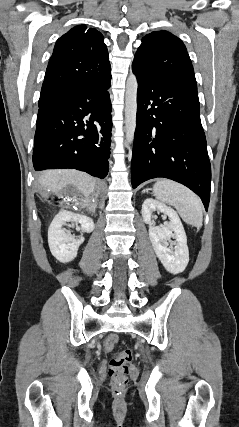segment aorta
<instances>
[{
    "label": "aorta",
    "instance_id": "obj_1",
    "mask_svg": "<svg viewBox=\"0 0 239 427\" xmlns=\"http://www.w3.org/2000/svg\"><path fill=\"white\" fill-rule=\"evenodd\" d=\"M137 89L138 82L136 76L131 73L126 82L125 93V132L126 144H131L134 140L136 129L137 113Z\"/></svg>",
    "mask_w": 239,
    "mask_h": 427
}]
</instances>
